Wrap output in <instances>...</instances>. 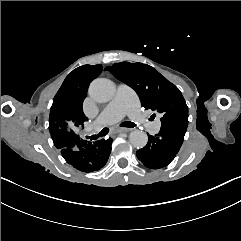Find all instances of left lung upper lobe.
<instances>
[{"label":"left lung upper lobe","instance_id":"left-lung-upper-lobe-1","mask_svg":"<svg viewBox=\"0 0 241 241\" xmlns=\"http://www.w3.org/2000/svg\"><path fill=\"white\" fill-rule=\"evenodd\" d=\"M118 80L133 88L145 109L163 114L161 124H188V107L180 90L153 67L142 63L108 66Z\"/></svg>","mask_w":241,"mask_h":241}]
</instances>
